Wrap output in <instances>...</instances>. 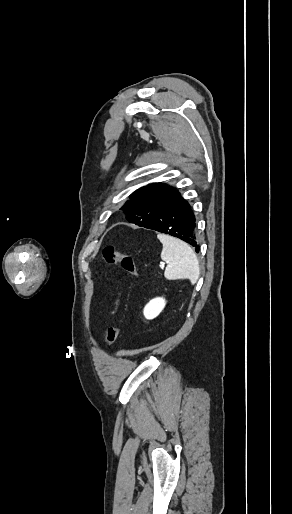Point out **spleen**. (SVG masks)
I'll return each instance as SVG.
<instances>
[{
	"instance_id": "obj_1",
	"label": "spleen",
	"mask_w": 292,
	"mask_h": 514,
	"mask_svg": "<svg viewBox=\"0 0 292 514\" xmlns=\"http://www.w3.org/2000/svg\"><path fill=\"white\" fill-rule=\"evenodd\" d=\"M158 240L163 244L161 260L168 262L164 272L167 280H190L195 284L199 278L200 268L195 252L192 248L172 236L158 234Z\"/></svg>"
}]
</instances>
